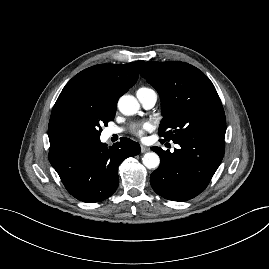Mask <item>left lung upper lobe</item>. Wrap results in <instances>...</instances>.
Masks as SVG:
<instances>
[{"mask_svg":"<svg viewBox=\"0 0 269 269\" xmlns=\"http://www.w3.org/2000/svg\"><path fill=\"white\" fill-rule=\"evenodd\" d=\"M159 93L162 142L204 137L225 138L226 119L212 82L198 68L179 61L147 62L141 70Z\"/></svg>","mask_w":269,"mask_h":269,"instance_id":"obj_1","label":"left lung upper lobe"}]
</instances>
